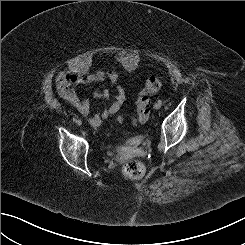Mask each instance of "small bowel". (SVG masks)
I'll list each match as a JSON object with an SVG mask.
<instances>
[{"label":"small bowel","instance_id":"1","mask_svg":"<svg viewBox=\"0 0 245 245\" xmlns=\"http://www.w3.org/2000/svg\"><path fill=\"white\" fill-rule=\"evenodd\" d=\"M118 80L119 72L114 69L108 71L100 70L94 73H73L69 70H63L56 77V89L63 100L85 116L90 126L98 127L104 120L116 114L125 102L126 92L124 87L118 83ZM104 82H108L114 88L113 100L101 111L90 115V102L80 97L75 91L74 86ZM93 96L96 99H109L111 93L108 88H100L94 90Z\"/></svg>","mask_w":245,"mask_h":245}]
</instances>
